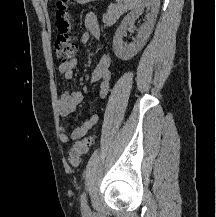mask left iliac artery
<instances>
[{"mask_svg": "<svg viewBox=\"0 0 216 217\" xmlns=\"http://www.w3.org/2000/svg\"><path fill=\"white\" fill-rule=\"evenodd\" d=\"M80 202H81V205L84 207V208H87V197H86V193L83 192L82 195H81V198H80Z\"/></svg>", "mask_w": 216, "mask_h": 217, "instance_id": "44dca946", "label": "left iliac artery"}]
</instances>
